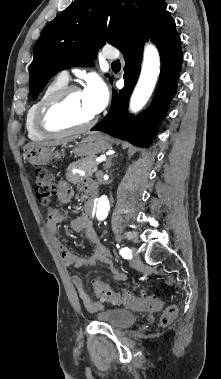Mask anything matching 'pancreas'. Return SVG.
Masks as SVG:
<instances>
[{"instance_id":"1","label":"pancreas","mask_w":221,"mask_h":379,"mask_svg":"<svg viewBox=\"0 0 221 379\" xmlns=\"http://www.w3.org/2000/svg\"><path fill=\"white\" fill-rule=\"evenodd\" d=\"M98 163L93 160V158H82L78 161L72 162L66 171V179L69 182L77 183L82 178L79 174H74L72 170L77 168L85 172V176H91L93 174L94 168H96Z\"/></svg>"}]
</instances>
